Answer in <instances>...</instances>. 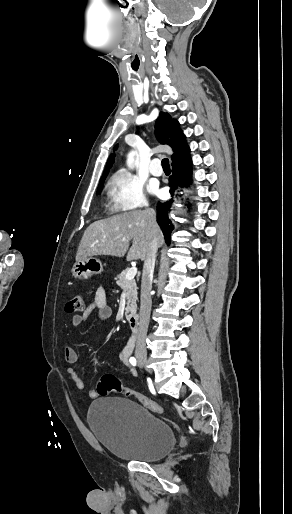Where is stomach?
<instances>
[{
	"mask_svg": "<svg viewBox=\"0 0 292 514\" xmlns=\"http://www.w3.org/2000/svg\"><path fill=\"white\" fill-rule=\"evenodd\" d=\"M103 266L98 258H82L79 262H75L72 268L74 278L78 280H89L94 274H101Z\"/></svg>",
	"mask_w": 292,
	"mask_h": 514,
	"instance_id": "0dacf381",
	"label": "stomach"
}]
</instances>
